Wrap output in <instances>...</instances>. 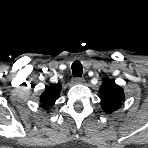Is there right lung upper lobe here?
Listing matches in <instances>:
<instances>
[{
  "mask_svg": "<svg viewBox=\"0 0 148 148\" xmlns=\"http://www.w3.org/2000/svg\"><path fill=\"white\" fill-rule=\"evenodd\" d=\"M62 89L61 84L47 86L40 96V104L43 107H51L54 105Z\"/></svg>",
  "mask_w": 148,
  "mask_h": 148,
  "instance_id": "1",
  "label": "right lung upper lobe"
}]
</instances>
